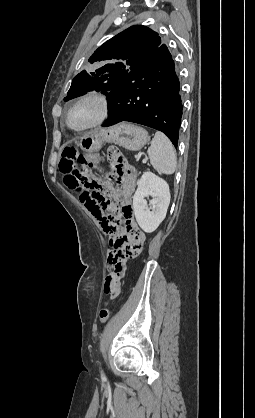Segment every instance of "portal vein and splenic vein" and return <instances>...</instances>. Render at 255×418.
Here are the masks:
<instances>
[{
    "instance_id": "1",
    "label": "portal vein and splenic vein",
    "mask_w": 255,
    "mask_h": 418,
    "mask_svg": "<svg viewBox=\"0 0 255 418\" xmlns=\"http://www.w3.org/2000/svg\"><path fill=\"white\" fill-rule=\"evenodd\" d=\"M146 161H147V159H144V160H143V162H146Z\"/></svg>"
}]
</instances>
